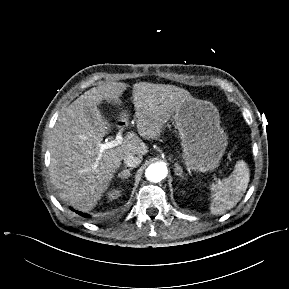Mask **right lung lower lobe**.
I'll return each mask as SVG.
<instances>
[{"label": "right lung lower lobe", "instance_id": "98d812e1", "mask_svg": "<svg viewBox=\"0 0 289 289\" xmlns=\"http://www.w3.org/2000/svg\"><path fill=\"white\" fill-rule=\"evenodd\" d=\"M72 210H73V209H72ZM76 213L79 214V215H81V216H83V217L90 218L89 215L84 214V213H81V212H79V211H76Z\"/></svg>", "mask_w": 289, "mask_h": 289}]
</instances>
